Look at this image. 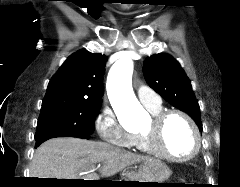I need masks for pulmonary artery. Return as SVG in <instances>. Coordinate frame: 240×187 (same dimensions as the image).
<instances>
[{
  "label": "pulmonary artery",
  "instance_id": "1",
  "mask_svg": "<svg viewBox=\"0 0 240 187\" xmlns=\"http://www.w3.org/2000/svg\"><path fill=\"white\" fill-rule=\"evenodd\" d=\"M137 96L146 108L157 109L161 107V98L155 91L147 86H139L137 88Z\"/></svg>",
  "mask_w": 240,
  "mask_h": 187
}]
</instances>
